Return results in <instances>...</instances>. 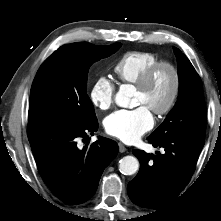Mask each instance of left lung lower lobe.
I'll list each match as a JSON object with an SVG mask.
<instances>
[{
    "label": "left lung lower lobe",
    "instance_id": "left-lung-lower-lobe-1",
    "mask_svg": "<svg viewBox=\"0 0 221 221\" xmlns=\"http://www.w3.org/2000/svg\"><path fill=\"white\" fill-rule=\"evenodd\" d=\"M148 140L154 147H163L165 153L133 151L140 170L129 182L128 194L133 203L158 209L176 199L189 183L204 140L188 136Z\"/></svg>",
    "mask_w": 221,
    "mask_h": 221
}]
</instances>
